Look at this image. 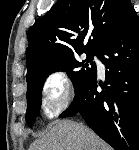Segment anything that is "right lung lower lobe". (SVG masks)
Returning a JSON list of instances; mask_svg holds the SVG:
<instances>
[{"label":"right lung lower lobe","instance_id":"obj_1","mask_svg":"<svg viewBox=\"0 0 139 150\" xmlns=\"http://www.w3.org/2000/svg\"><path fill=\"white\" fill-rule=\"evenodd\" d=\"M96 53L106 68L105 86L96 68L75 89L61 117L80 114L115 150H139V19L134 9Z\"/></svg>","mask_w":139,"mask_h":150}]
</instances>
